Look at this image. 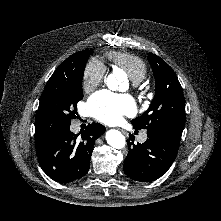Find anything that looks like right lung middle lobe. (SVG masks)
<instances>
[{
	"instance_id": "dd1d6c3e",
	"label": "right lung middle lobe",
	"mask_w": 221,
	"mask_h": 221,
	"mask_svg": "<svg viewBox=\"0 0 221 221\" xmlns=\"http://www.w3.org/2000/svg\"><path fill=\"white\" fill-rule=\"evenodd\" d=\"M89 50L66 74L50 78L45 86L36 113L35 129L43 134L70 126L77 114V103L83 98L82 78Z\"/></svg>"
}]
</instances>
